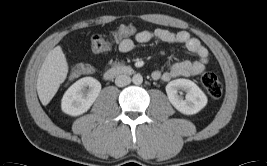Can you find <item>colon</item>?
I'll use <instances>...</instances> for the list:
<instances>
[{"instance_id": "colon-1", "label": "colon", "mask_w": 267, "mask_h": 166, "mask_svg": "<svg viewBox=\"0 0 267 166\" xmlns=\"http://www.w3.org/2000/svg\"><path fill=\"white\" fill-rule=\"evenodd\" d=\"M138 32V25L135 22H128L126 25L116 24L110 30L111 38H103L101 36H93L90 39V49L95 52H104L111 48L113 42L121 43L124 38H130ZM92 67L88 65H79L75 69L76 74H89ZM201 82L207 93L212 99H219L223 94V86L218 77L210 72L205 71L201 74Z\"/></svg>"}]
</instances>
